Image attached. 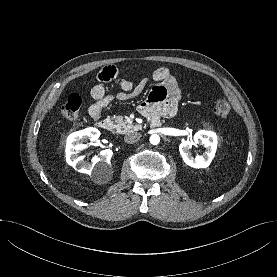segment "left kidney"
<instances>
[{
	"label": "left kidney",
	"mask_w": 277,
	"mask_h": 277,
	"mask_svg": "<svg viewBox=\"0 0 277 277\" xmlns=\"http://www.w3.org/2000/svg\"><path fill=\"white\" fill-rule=\"evenodd\" d=\"M201 144L206 149L203 155H197L194 157L191 152V146ZM217 149V136L212 131H205L201 130L198 131L195 135L193 140H186L183 141L179 145V152L183 158V161L193 168H207L212 159L215 156V152Z\"/></svg>",
	"instance_id": "1"
}]
</instances>
